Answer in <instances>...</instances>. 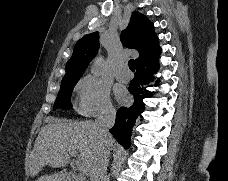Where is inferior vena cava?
I'll return each instance as SVG.
<instances>
[{
	"label": "inferior vena cava",
	"instance_id": "602c4592",
	"mask_svg": "<svg viewBox=\"0 0 228 181\" xmlns=\"http://www.w3.org/2000/svg\"><path fill=\"white\" fill-rule=\"evenodd\" d=\"M115 117L116 111L113 109L112 105H105L97 115L94 127L101 139V145L97 153L92 157L90 181H106V171L111 151L107 137L110 135L109 129H111L115 123Z\"/></svg>",
	"mask_w": 228,
	"mask_h": 181
}]
</instances>
